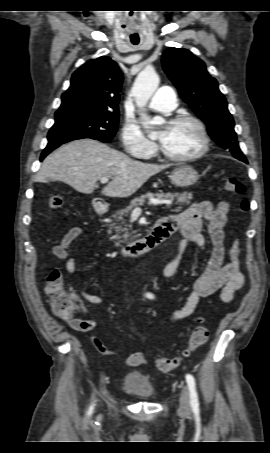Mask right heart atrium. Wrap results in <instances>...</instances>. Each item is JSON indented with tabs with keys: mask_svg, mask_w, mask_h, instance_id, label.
Returning a JSON list of instances; mask_svg holds the SVG:
<instances>
[{
	"mask_svg": "<svg viewBox=\"0 0 270 453\" xmlns=\"http://www.w3.org/2000/svg\"><path fill=\"white\" fill-rule=\"evenodd\" d=\"M121 141L126 153L133 157H149L156 150L155 144L145 137L137 124L131 121L124 124Z\"/></svg>",
	"mask_w": 270,
	"mask_h": 453,
	"instance_id": "right-heart-atrium-1",
	"label": "right heart atrium"
}]
</instances>
